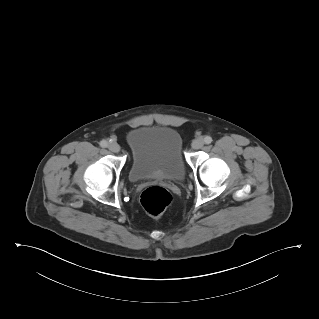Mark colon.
Masks as SVG:
<instances>
[{
    "label": "colon",
    "mask_w": 319,
    "mask_h": 319,
    "mask_svg": "<svg viewBox=\"0 0 319 319\" xmlns=\"http://www.w3.org/2000/svg\"><path fill=\"white\" fill-rule=\"evenodd\" d=\"M172 196L168 190L161 186H150L141 194V204L152 217H160L170 206Z\"/></svg>",
    "instance_id": "5ec220e1"
}]
</instances>
